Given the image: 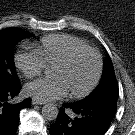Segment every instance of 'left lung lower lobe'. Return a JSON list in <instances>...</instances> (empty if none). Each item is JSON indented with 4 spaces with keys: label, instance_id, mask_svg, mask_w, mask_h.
<instances>
[{
    "label": "left lung lower lobe",
    "instance_id": "obj_1",
    "mask_svg": "<svg viewBox=\"0 0 135 135\" xmlns=\"http://www.w3.org/2000/svg\"><path fill=\"white\" fill-rule=\"evenodd\" d=\"M117 99L63 104L50 135H104L116 113Z\"/></svg>",
    "mask_w": 135,
    "mask_h": 135
}]
</instances>
